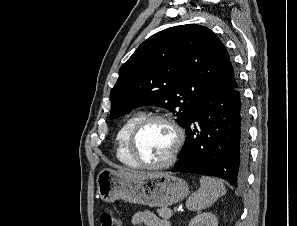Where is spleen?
<instances>
[{
  "instance_id": "obj_1",
  "label": "spleen",
  "mask_w": 297,
  "mask_h": 226,
  "mask_svg": "<svg viewBox=\"0 0 297 226\" xmlns=\"http://www.w3.org/2000/svg\"><path fill=\"white\" fill-rule=\"evenodd\" d=\"M225 193L226 188L219 179L201 177L200 188L187 199L186 207L190 211L206 209Z\"/></svg>"
}]
</instances>
